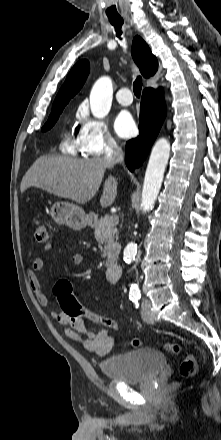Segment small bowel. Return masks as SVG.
Masks as SVG:
<instances>
[{
  "instance_id": "1",
  "label": "small bowel",
  "mask_w": 221,
  "mask_h": 440,
  "mask_svg": "<svg viewBox=\"0 0 221 440\" xmlns=\"http://www.w3.org/2000/svg\"><path fill=\"white\" fill-rule=\"evenodd\" d=\"M51 247V245L46 246V250L51 249ZM72 263L74 265H81L83 263L82 254L75 253L72 257ZM42 269L43 260L39 257L34 258L27 270V280L38 303L47 309L49 308V300L42 290V285L37 275ZM60 310L52 309L50 314L64 327L65 334L70 339L79 342L85 349L98 355H106L113 348L114 336L110 330L115 329H101L94 332L88 327V322L95 323L94 321H86L85 318H79L77 321H68L67 315H62Z\"/></svg>"
}]
</instances>
